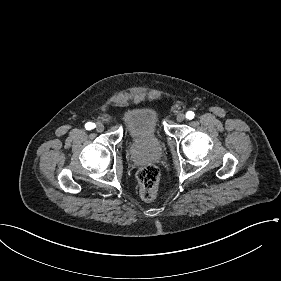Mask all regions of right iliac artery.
Wrapping results in <instances>:
<instances>
[{"mask_svg": "<svg viewBox=\"0 0 281 281\" xmlns=\"http://www.w3.org/2000/svg\"><path fill=\"white\" fill-rule=\"evenodd\" d=\"M95 127V125L93 124V123H91V122H88V123H86V125H85V128L87 129V130H91V129H93Z\"/></svg>", "mask_w": 281, "mask_h": 281, "instance_id": "82829eb1", "label": "right iliac artery"}]
</instances>
